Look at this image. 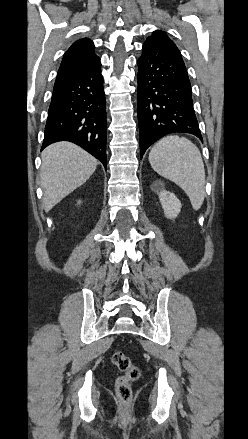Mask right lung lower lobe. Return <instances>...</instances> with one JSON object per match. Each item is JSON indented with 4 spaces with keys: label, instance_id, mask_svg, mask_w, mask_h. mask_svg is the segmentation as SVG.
<instances>
[{
    "label": "right lung lower lobe",
    "instance_id": "1",
    "mask_svg": "<svg viewBox=\"0 0 248 439\" xmlns=\"http://www.w3.org/2000/svg\"><path fill=\"white\" fill-rule=\"evenodd\" d=\"M106 101L101 64L54 85L42 149L71 141L107 167Z\"/></svg>",
    "mask_w": 248,
    "mask_h": 439
}]
</instances>
